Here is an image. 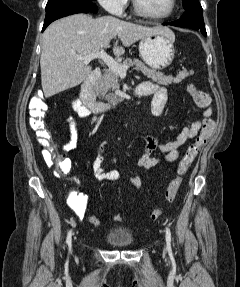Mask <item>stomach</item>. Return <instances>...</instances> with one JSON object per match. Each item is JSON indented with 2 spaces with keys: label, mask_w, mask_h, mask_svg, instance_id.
<instances>
[{
  "label": "stomach",
  "mask_w": 240,
  "mask_h": 287,
  "mask_svg": "<svg viewBox=\"0 0 240 287\" xmlns=\"http://www.w3.org/2000/svg\"><path fill=\"white\" fill-rule=\"evenodd\" d=\"M174 42V34H157L145 37L139 42L140 57L153 69H164L174 59Z\"/></svg>",
  "instance_id": "1"
}]
</instances>
